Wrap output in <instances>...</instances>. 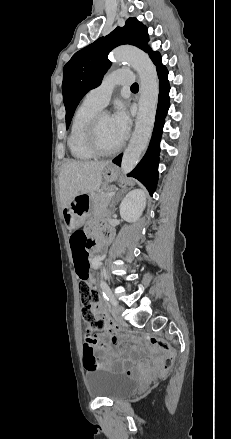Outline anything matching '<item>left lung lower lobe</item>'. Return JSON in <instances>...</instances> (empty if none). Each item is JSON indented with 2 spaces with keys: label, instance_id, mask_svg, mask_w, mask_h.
I'll list each match as a JSON object with an SVG mask.
<instances>
[{
  "label": "left lung lower lobe",
  "instance_id": "obj_1",
  "mask_svg": "<svg viewBox=\"0 0 231 439\" xmlns=\"http://www.w3.org/2000/svg\"><path fill=\"white\" fill-rule=\"evenodd\" d=\"M156 65L159 81V100L155 118V126L148 150L135 169L128 174L142 182L148 191L152 194L156 188L158 181V163L160 152V137L163 130L164 118L169 109V83L168 71L161 63L159 53L151 57ZM122 154L113 159V163L120 165Z\"/></svg>",
  "mask_w": 231,
  "mask_h": 439
}]
</instances>
